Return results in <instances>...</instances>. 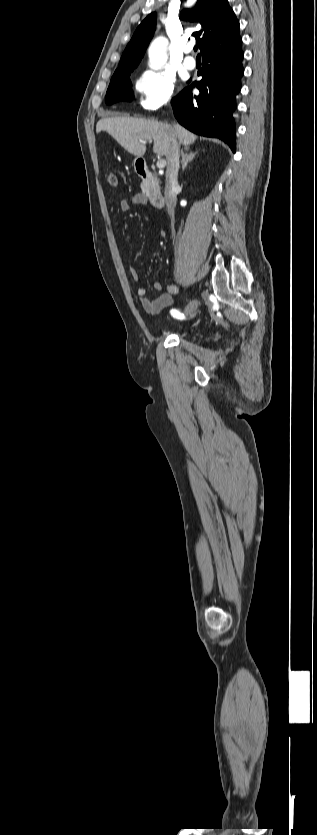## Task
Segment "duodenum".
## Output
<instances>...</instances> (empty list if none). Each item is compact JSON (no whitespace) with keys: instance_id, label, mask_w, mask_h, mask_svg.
Segmentation results:
<instances>
[{"instance_id":"obj_1","label":"duodenum","mask_w":317,"mask_h":835,"mask_svg":"<svg viewBox=\"0 0 317 835\" xmlns=\"http://www.w3.org/2000/svg\"><path fill=\"white\" fill-rule=\"evenodd\" d=\"M136 171L138 175L148 181L152 191L149 195V201L152 206L161 208L164 205V196L158 187V180L150 171L148 165L141 159L136 162Z\"/></svg>"}]
</instances>
